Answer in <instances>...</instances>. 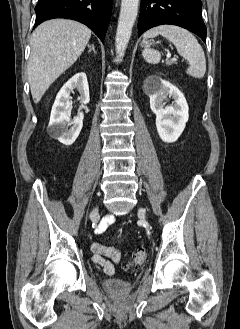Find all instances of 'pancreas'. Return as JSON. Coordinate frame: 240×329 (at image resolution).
<instances>
[{
    "label": "pancreas",
    "mask_w": 240,
    "mask_h": 329,
    "mask_svg": "<svg viewBox=\"0 0 240 329\" xmlns=\"http://www.w3.org/2000/svg\"><path fill=\"white\" fill-rule=\"evenodd\" d=\"M173 62L172 61H169L168 64H172Z\"/></svg>",
    "instance_id": "1"
}]
</instances>
